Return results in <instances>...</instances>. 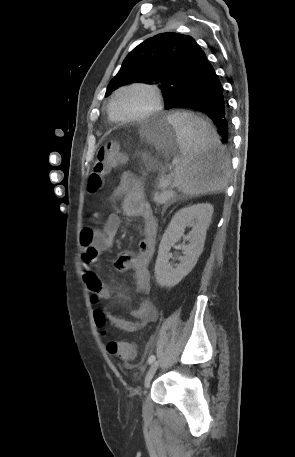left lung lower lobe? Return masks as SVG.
I'll return each mask as SVG.
<instances>
[{
  "label": "left lung lower lobe",
  "mask_w": 295,
  "mask_h": 457,
  "mask_svg": "<svg viewBox=\"0 0 295 457\" xmlns=\"http://www.w3.org/2000/svg\"><path fill=\"white\" fill-rule=\"evenodd\" d=\"M188 77L184 89L167 104L166 108H191L206 114L217 126L222 144L228 146L230 144V120L223 87L203 50L191 65Z\"/></svg>",
  "instance_id": "left-lung-lower-lobe-1"
}]
</instances>
